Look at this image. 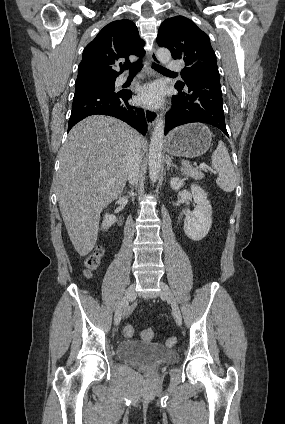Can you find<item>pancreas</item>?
I'll list each match as a JSON object with an SVG mask.
<instances>
[{
    "mask_svg": "<svg viewBox=\"0 0 285 424\" xmlns=\"http://www.w3.org/2000/svg\"><path fill=\"white\" fill-rule=\"evenodd\" d=\"M183 175L187 177H192L194 179H202L204 177V174L199 171L198 169L193 168L188 163H185L181 169Z\"/></svg>",
    "mask_w": 285,
    "mask_h": 424,
    "instance_id": "1",
    "label": "pancreas"
}]
</instances>
